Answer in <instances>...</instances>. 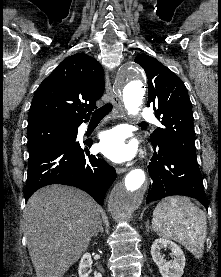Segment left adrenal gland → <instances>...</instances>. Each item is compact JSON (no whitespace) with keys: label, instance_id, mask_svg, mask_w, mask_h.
Wrapping results in <instances>:
<instances>
[{"label":"left adrenal gland","instance_id":"1","mask_svg":"<svg viewBox=\"0 0 221 277\" xmlns=\"http://www.w3.org/2000/svg\"><path fill=\"white\" fill-rule=\"evenodd\" d=\"M151 227L149 226V220L146 222V230L149 231Z\"/></svg>","mask_w":221,"mask_h":277}]
</instances>
